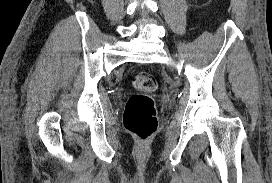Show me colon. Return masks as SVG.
Instances as JSON below:
<instances>
[{
    "instance_id": "obj_1",
    "label": "colon",
    "mask_w": 272,
    "mask_h": 183,
    "mask_svg": "<svg viewBox=\"0 0 272 183\" xmlns=\"http://www.w3.org/2000/svg\"><path fill=\"white\" fill-rule=\"evenodd\" d=\"M137 93L127 101L123 122L126 130L140 141H147L157 129V110L151 93L158 82L153 74L142 71L133 78Z\"/></svg>"
}]
</instances>
